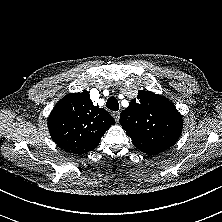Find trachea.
I'll return each instance as SVG.
<instances>
[{"label":"trachea","mask_w":222,"mask_h":222,"mask_svg":"<svg viewBox=\"0 0 222 222\" xmlns=\"http://www.w3.org/2000/svg\"><path fill=\"white\" fill-rule=\"evenodd\" d=\"M106 106L111 111H118L119 109L118 100L114 96H112L107 100Z\"/></svg>","instance_id":"obj_1"}]
</instances>
